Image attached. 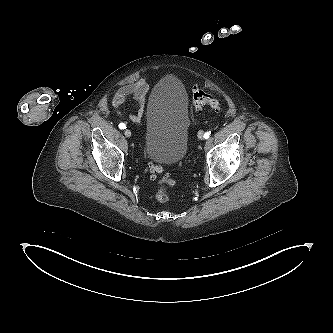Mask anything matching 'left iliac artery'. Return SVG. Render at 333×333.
<instances>
[{"label":"left iliac artery","instance_id":"1","mask_svg":"<svg viewBox=\"0 0 333 333\" xmlns=\"http://www.w3.org/2000/svg\"><path fill=\"white\" fill-rule=\"evenodd\" d=\"M211 132L210 131H207L206 133H204V138L207 139L209 138Z\"/></svg>","mask_w":333,"mask_h":333}]
</instances>
